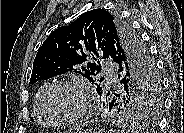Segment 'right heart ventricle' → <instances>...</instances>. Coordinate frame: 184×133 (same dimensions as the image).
Listing matches in <instances>:
<instances>
[{
	"label": "right heart ventricle",
	"mask_w": 184,
	"mask_h": 133,
	"mask_svg": "<svg viewBox=\"0 0 184 133\" xmlns=\"http://www.w3.org/2000/svg\"><path fill=\"white\" fill-rule=\"evenodd\" d=\"M50 84L49 83H45L41 86V88L38 90L36 97H35V102H34V109H35V113L36 116L38 118V120L43 124V125H49L50 123L46 120L42 110H41V99L42 96L45 92V90L48 88Z\"/></svg>",
	"instance_id": "1"
}]
</instances>
